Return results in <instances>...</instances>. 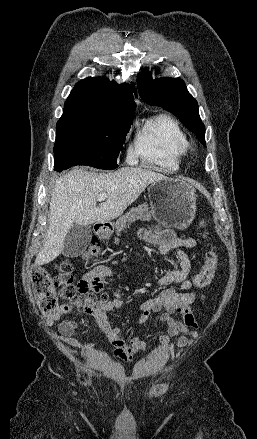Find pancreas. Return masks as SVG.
<instances>
[{"instance_id":"cf45deb5","label":"pancreas","mask_w":257,"mask_h":439,"mask_svg":"<svg viewBox=\"0 0 257 439\" xmlns=\"http://www.w3.org/2000/svg\"><path fill=\"white\" fill-rule=\"evenodd\" d=\"M152 216L153 213L149 210L147 204H142L137 207L131 208L126 214L121 216L116 221L115 228L117 236H120L122 230H124L127 225L135 222L136 220L149 221ZM115 241H119L118 237L115 238Z\"/></svg>"}]
</instances>
